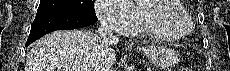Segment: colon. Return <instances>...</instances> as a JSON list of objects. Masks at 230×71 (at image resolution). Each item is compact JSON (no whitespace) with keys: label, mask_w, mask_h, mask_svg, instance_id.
Here are the masks:
<instances>
[{"label":"colon","mask_w":230,"mask_h":71,"mask_svg":"<svg viewBox=\"0 0 230 71\" xmlns=\"http://www.w3.org/2000/svg\"><path fill=\"white\" fill-rule=\"evenodd\" d=\"M180 71H192V69L187 68V67H182L180 68Z\"/></svg>","instance_id":"5ec220e1"}]
</instances>
